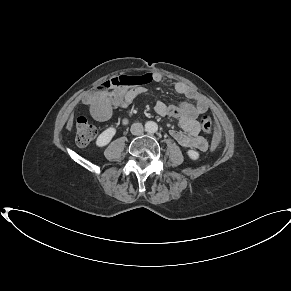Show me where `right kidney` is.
<instances>
[{"mask_svg":"<svg viewBox=\"0 0 291 291\" xmlns=\"http://www.w3.org/2000/svg\"><path fill=\"white\" fill-rule=\"evenodd\" d=\"M116 134V129L114 127H109L108 129L104 130L98 137L96 140V145L98 147H104L107 144H109V142L111 141V139L113 138V136Z\"/></svg>","mask_w":291,"mask_h":291,"instance_id":"1","label":"right kidney"}]
</instances>
